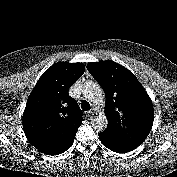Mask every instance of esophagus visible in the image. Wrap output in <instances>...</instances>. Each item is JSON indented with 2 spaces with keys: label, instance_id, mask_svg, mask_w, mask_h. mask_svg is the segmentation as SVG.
Instances as JSON below:
<instances>
[{
  "label": "esophagus",
  "instance_id": "esophagus-1",
  "mask_svg": "<svg viewBox=\"0 0 177 177\" xmlns=\"http://www.w3.org/2000/svg\"><path fill=\"white\" fill-rule=\"evenodd\" d=\"M94 113L92 111L87 112V116L89 120H92Z\"/></svg>",
  "mask_w": 177,
  "mask_h": 177
}]
</instances>
